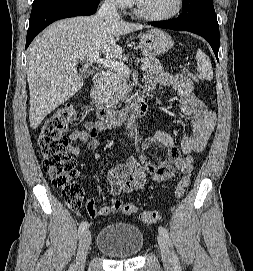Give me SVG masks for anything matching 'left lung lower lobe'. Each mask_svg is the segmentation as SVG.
<instances>
[{
    "mask_svg": "<svg viewBox=\"0 0 253 271\" xmlns=\"http://www.w3.org/2000/svg\"><path fill=\"white\" fill-rule=\"evenodd\" d=\"M151 25L177 31H189L202 36L211 45L218 60L220 36L214 7H211L205 13L188 20H183L178 17L177 19Z\"/></svg>",
    "mask_w": 253,
    "mask_h": 271,
    "instance_id": "1",
    "label": "left lung lower lobe"
}]
</instances>
